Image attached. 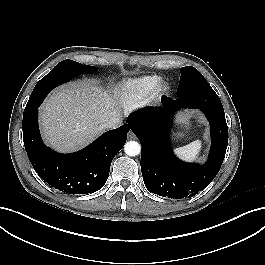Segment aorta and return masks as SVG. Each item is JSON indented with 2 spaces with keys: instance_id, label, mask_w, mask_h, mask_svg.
<instances>
[{
  "instance_id": "762f6f07",
  "label": "aorta",
  "mask_w": 265,
  "mask_h": 265,
  "mask_svg": "<svg viewBox=\"0 0 265 265\" xmlns=\"http://www.w3.org/2000/svg\"><path fill=\"white\" fill-rule=\"evenodd\" d=\"M124 151L129 156H137L141 152V146L136 141H129L125 144Z\"/></svg>"
}]
</instances>
